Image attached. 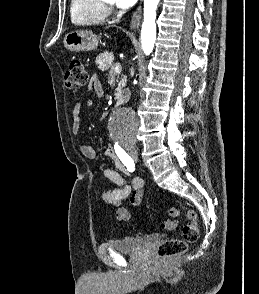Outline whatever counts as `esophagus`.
<instances>
[{
    "mask_svg": "<svg viewBox=\"0 0 259 294\" xmlns=\"http://www.w3.org/2000/svg\"><path fill=\"white\" fill-rule=\"evenodd\" d=\"M141 20V5L138 6L137 10L134 12L131 22H130V28L131 29H137L140 25Z\"/></svg>",
    "mask_w": 259,
    "mask_h": 294,
    "instance_id": "obj_1",
    "label": "esophagus"
}]
</instances>
